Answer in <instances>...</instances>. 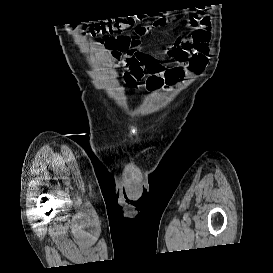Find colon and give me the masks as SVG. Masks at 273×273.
<instances>
[{
	"label": "colon",
	"instance_id": "5ec220e1",
	"mask_svg": "<svg viewBox=\"0 0 273 273\" xmlns=\"http://www.w3.org/2000/svg\"><path fill=\"white\" fill-rule=\"evenodd\" d=\"M166 23L165 20L154 22L152 27H161ZM149 26H143L136 23L134 17H123L118 19L103 20L87 24V30L92 35H107L119 34L126 30L133 29V34L130 37V45L138 46L140 44V37L148 32Z\"/></svg>",
	"mask_w": 273,
	"mask_h": 273
}]
</instances>
